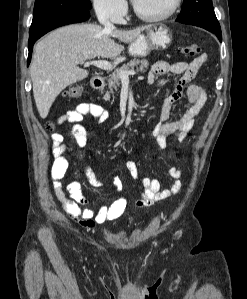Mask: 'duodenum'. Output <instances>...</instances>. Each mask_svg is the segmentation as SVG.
<instances>
[{
	"instance_id": "obj_1",
	"label": "duodenum",
	"mask_w": 247,
	"mask_h": 299,
	"mask_svg": "<svg viewBox=\"0 0 247 299\" xmlns=\"http://www.w3.org/2000/svg\"><path fill=\"white\" fill-rule=\"evenodd\" d=\"M90 84H91L92 88H94V89H100L104 85V78L102 76H94L91 79Z\"/></svg>"
}]
</instances>
